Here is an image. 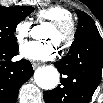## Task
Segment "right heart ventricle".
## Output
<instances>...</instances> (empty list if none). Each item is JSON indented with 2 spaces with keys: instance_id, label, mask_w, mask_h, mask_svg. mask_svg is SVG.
Segmentation results:
<instances>
[{
  "instance_id": "e07e8e85",
  "label": "right heart ventricle",
  "mask_w": 103,
  "mask_h": 103,
  "mask_svg": "<svg viewBox=\"0 0 103 103\" xmlns=\"http://www.w3.org/2000/svg\"><path fill=\"white\" fill-rule=\"evenodd\" d=\"M37 21H57V20H62V19H71V13L69 10L66 8L59 6V5H54L50 6L46 9H42L37 13Z\"/></svg>"
}]
</instances>
